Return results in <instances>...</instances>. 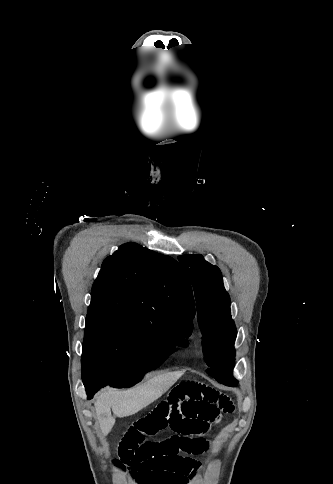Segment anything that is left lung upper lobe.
Segmentation results:
<instances>
[{"label":"left lung upper lobe","instance_id":"obj_1","mask_svg":"<svg viewBox=\"0 0 333 484\" xmlns=\"http://www.w3.org/2000/svg\"><path fill=\"white\" fill-rule=\"evenodd\" d=\"M192 283L198 322L202 332L207 373L222 384H237L232 378L237 330L231 318L230 298L219 268L202 255L178 256Z\"/></svg>","mask_w":333,"mask_h":484}]
</instances>
